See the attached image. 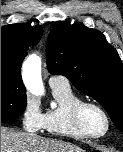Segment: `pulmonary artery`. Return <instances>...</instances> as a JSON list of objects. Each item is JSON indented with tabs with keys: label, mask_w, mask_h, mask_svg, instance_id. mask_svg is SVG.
Returning <instances> with one entry per match:
<instances>
[{
	"label": "pulmonary artery",
	"mask_w": 123,
	"mask_h": 152,
	"mask_svg": "<svg viewBox=\"0 0 123 152\" xmlns=\"http://www.w3.org/2000/svg\"><path fill=\"white\" fill-rule=\"evenodd\" d=\"M48 82L51 88L70 86L69 80L62 75H52L50 76Z\"/></svg>",
	"instance_id": "1"
}]
</instances>
